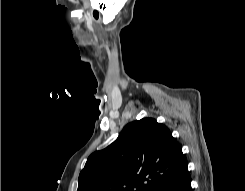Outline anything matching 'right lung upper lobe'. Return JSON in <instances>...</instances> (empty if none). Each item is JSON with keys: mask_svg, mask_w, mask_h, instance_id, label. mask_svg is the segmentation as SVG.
I'll list each match as a JSON object with an SVG mask.
<instances>
[{"mask_svg": "<svg viewBox=\"0 0 245 191\" xmlns=\"http://www.w3.org/2000/svg\"><path fill=\"white\" fill-rule=\"evenodd\" d=\"M186 168L169 129L143 118L127 124L112 144L89 156L77 191H156Z\"/></svg>", "mask_w": 245, "mask_h": 191, "instance_id": "cb5924a9", "label": "right lung upper lobe"}]
</instances>
